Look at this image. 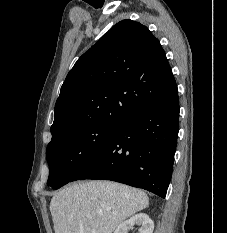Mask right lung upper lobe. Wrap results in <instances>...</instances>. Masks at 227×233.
Segmentation results:
<instances>
[{
    "instance_id": "cb5924a9",
    "label": "right lung upper lobe",
    "mask_w": 227,
    "mask_h": 233,
    "mask_svg": "<svg viewBox=\"0 0 227 233\" xmlns=\"http://www.w3.org/2000/svg\"><path fill=\"white\" fill-rule=\"evenodd\" d=\"M175 85L159 40L146 26L122 20L68 73L55 104L52 137L82 125L120 124Z\"/></svg>"
}]
</instances>
